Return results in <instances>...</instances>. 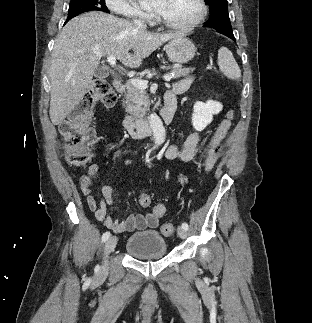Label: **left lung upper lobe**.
<instances>
[{"mask_svg":"<svg viewBox=\"0 0 312 323\" xmlns=\"http://www.w3.org/2000/svg\"><path fill=\"white\" fill-rule=\"evenodd\" d=\"M210 7V18L205 27L213 28L217 32L233 34L229 15L227 0H204Z\"/></svg>","mask_w":312,"mask_h":323,"instance_id":"1","label":"left lung upper lobe"}]
</instances>
